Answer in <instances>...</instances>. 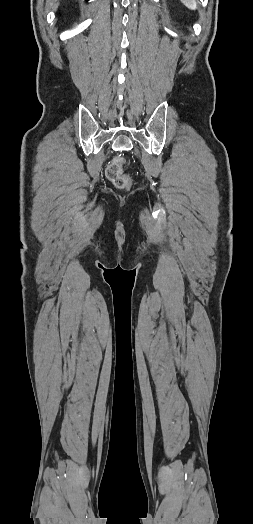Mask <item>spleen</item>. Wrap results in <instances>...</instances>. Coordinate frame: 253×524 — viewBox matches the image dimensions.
Masks as SVG:
<instances>
[{
	"mask_svg": "<svg viewBox=\"0 0 253 524\" xmlns=\"http://www.w3.org/2000/svg\"><path fill=\"white\" fill-rule=\"evenodd\" d=\"M181 2L191 10L196 9V3L194 2V0H181Z\"/></svg>",
	"mask_w": 253,
	"mask_h": 524,
	"instance_id": "spleen-1",
	"label": "spleen"
}]
</instances>
